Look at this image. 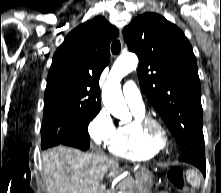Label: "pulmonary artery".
I'll return each instance as SVG.
<instances>
[{"label": "pulmonary artery", "mask_w": 221, "mask_h": 193, "mask_svg": "<svg viewBox=\"0 0 221 193\" xmlns=\"http://www.w3.org/2000/svg\"><path fill=\"white\" fill-rule=\"evenodd\" d=\"M123 95L128 105L137 111H144L141 93L133 81H127L123 86Z\"/></svg>", "instance_id": "obj_1"}]
</instances>
